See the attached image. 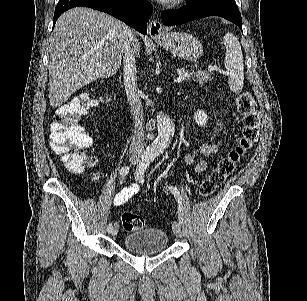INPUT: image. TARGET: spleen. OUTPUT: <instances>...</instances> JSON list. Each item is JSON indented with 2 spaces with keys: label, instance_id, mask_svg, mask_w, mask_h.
Listing matches in <instances>:
<instances>
[{
  "label": "spleen",
  "instance_id": "1",
  "mask_svg": "<svg viewBox=\"0 0 307 301\" xmlns=\"http://www.w3.org/2000/svg\"><path fill=\"white\" fill-rule=\"evenodd\" d=\"M223 42L226 46L224 64L230 74L228 84L233 92L240 94L244 82V60L241 44L232 32L224 34Z\"/></svg>",
  "mask_w": 307,
  "mask_h": 301
}]
</instances>
